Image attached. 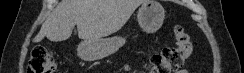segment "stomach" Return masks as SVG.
<instances>
[{
    "label": "stomach",
    "instance_id": "1",
    "mask_svg": "<svg viewBox=\"0 0 244 73\" xmlns=\"http://www.w3.org/2000/svg\"><path fill=\"white\" fill-rule=\"evenodd\" d=\"M140 27L147 33L156 32L163 24L165 10L156 0H147L137 13ZM126 43V38L114 36L105 39L83 41L78 45L77 53L86 61H94L118 51Z\"/></svg>",
    "mask_w": 244,
    "mask_h": 73
}]
</instances>
